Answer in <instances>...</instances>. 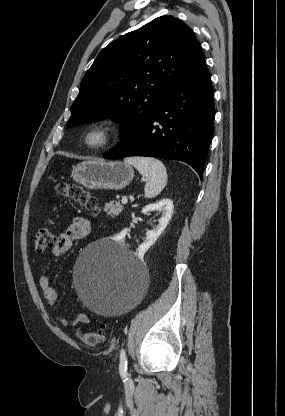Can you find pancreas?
Here are the masks:
<instances>
[{
    "label": "pancreas",
    "instance_id": "cf45deb5",
    "mask_svg": "<svg viewBox=\"0 0 285 416\" xmlns=\"http://www.w3.org/2000/svg\"><path fill=\"white\" fill-rule=\"evenodd\" d=\"M124 206H121L119 202H109V204H105L104 210L107 212L110 218H115V216H119L121 212H123Z\"/></svg>",
    "mask_w": 285,
    "mask_h": 416
}]
</instances>
